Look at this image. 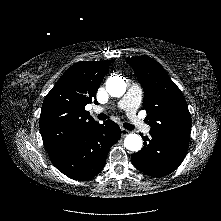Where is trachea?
<instances>
[{
    "label": "trachea",
    "mask_w": 221,
    "mask_h": 221,
    "mask_svg": "<svg viewBox=\"0 0 221 221\" xmlns=\"http://www.w3.org/2000/svg\"><path fill=\"white\" fill-rule=\"evenodd\" d=\"M97 118H98L99 120H105V119L107 118V115H106V114H99V115L97 116ZM123 126H124V128L127 129V130H133V129H134V126L131 125V124H129V123H124Z\"/></svg>",
    "instance_id": "trachea-1"
}]
</instances>
